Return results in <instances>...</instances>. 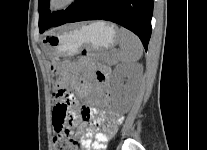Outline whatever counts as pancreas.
<instances>
[{
	"label": "pancreas",
	"mask_w": 207,
	"mask_h": 150,
	"mask_svg": "<svg viewBox=\"0 0 207 150\" xmlns=\"http://www.w3.org/2000/svg\"><path fill=\"white\" fill-rule=\"evenodd\" d=\"M100 59L109 65H115L117 63V55L112 50L100 54Z\"/></svg>",
	"instance_id": "obj_1"
}]
</instances>
